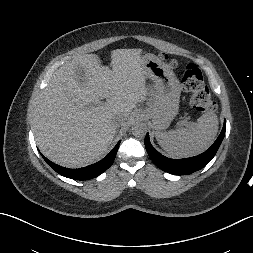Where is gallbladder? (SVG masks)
Wrapping results in <instances>:
<instances>
[{
  "instance_id": "1",
  "label": "gallbladder",
  "mask_w": 253,
  "mask_h": 253,
  "mask_svg": "<svg viewBox=\"0 0 253 253\" xmlns=\"http://www.w3.org/2000/svg\"><path fill=\"white\" fill-rule=\"evenodd\" d=\"M76 75H77V81H78V83L82 86L85 83L84 70L82 68H79L76 71Z\"/></svg>"
}]
</instances>
